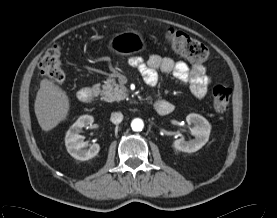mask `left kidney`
<instances>
[{
	"mask_svg": "<svg viewBox=\"0 0 277 218\" xmlns=\"http://www.w3.org/2000/svg\"><path fill=\"white\" fill-rule=\"evenodd\" d=\"M186 121L188 124L193 125L191 134L195 139L190 141H186L184 138L177 139L173 142V147L182 152H196L207 143L211 132V125L203 116L196 113L187 115Z\"/></svg>",
	"mask_w": 277,
	"mask_h": 218,
	"instance_id": "obj_1",
	"label": "left kidney"
}]
</instances>
